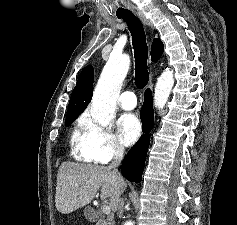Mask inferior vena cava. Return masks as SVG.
Instances as JSON below:
<instances>
[{
    "instance_id": "1",
    "label": "inferior vena cava",
    "mask_w": 237,
    "mask_h": 225,
    "mask_svg": "<svg viewBox=\"0 0 237 225\" xmlns=\"http://www.w3.org/2000/svg\"><path fill=\"white\" fill-rule=\"evenodd\" d=\"M113 151H114L113 160L110 163V165L108 166V168L110 170H112V174L115 176L116 180L119 183H122L123 179H122L121 174L119 173L117 167L120 165V163L122 161L124 148L119 144H115L114 147H113ZM123 207H124V201H123L122 198H119L118 205H117V210H118V216L119 217L123 213Z\"/></svg>"
}]
</instances>
